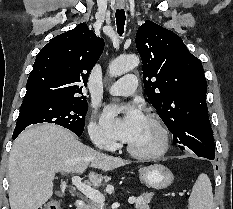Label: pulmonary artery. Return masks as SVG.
<instances>
[{
	"label": "pulmonary artery",
	"mask_w": 233,
	"mask_h": 209,
	"mask_svg": "<svg viewBox=\"0 0 233 209\" xmlns=\"http://www.w3.org/2000/svg\"><path fill=\"white\" fill-rule=\"evenodd\" d=\"M138 79L135 75H125L111 84L108 92L112 95L128 96L133 94L137 88Z\"/></svg>",
	"instance_id": "obj_1"
}]
</instances>
